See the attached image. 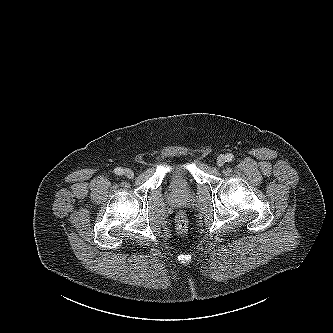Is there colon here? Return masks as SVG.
<instances>
[{
  "label": "colon",
  "instance_id": "colon-1",
  "mask_svg": "<svg viewBox=\"0 0 333 333\" xmlns=\"http://www.w3.org/2000/svg\"><path fill=\"white\" fill-rule=\"evenodd\" d=\"M175 226L176 230L181 234H184L189 230V220L184 213H180L177 216Z\"/></svg>",
  "mask_w": 333,
  "mask_h": 333
}]
</instances>
